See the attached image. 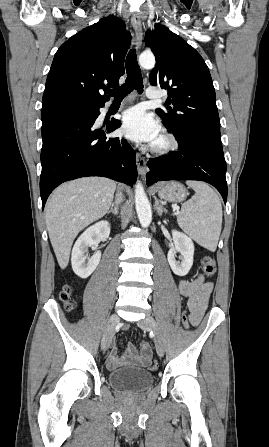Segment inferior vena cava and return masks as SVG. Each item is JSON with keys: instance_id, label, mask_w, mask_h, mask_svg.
I'll return each mask as SVG.
<instances>
[{"instance_id": "602c4592", "label": "inferior vena cava", "mask_w": 269, "mask_h": 447, "mask_svg": "<svg viewBox=\"0 0 269 447\" xmlns=\"http://www.w3.org/2000/svg\"><path fill=\"white\" fill-rule=\"evenodd\" d=\"M116 196H117L116 204H119V202H122L123 196H122L121 192H118V194H116Z\"/></svg>"}]
</instances>
